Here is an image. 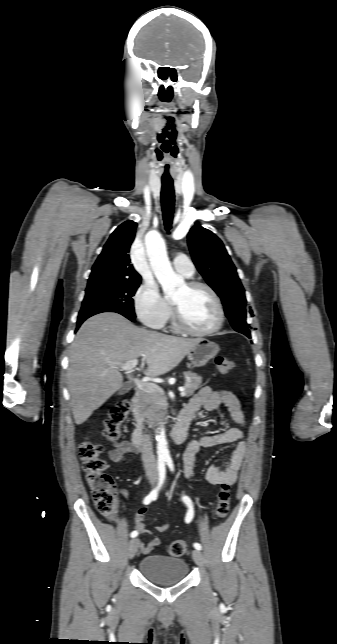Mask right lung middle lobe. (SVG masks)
I'll use <instances>...</instances> for the list:
<instances>
[{
	"label": "right lung middle lobe",
	"instance_id": "1",
	"mask_svg": "<svg viewBox=\"0 0 337 644\" xmlns=\"http://www.w3.org/2000/svg\"><path fill=\"white\" fill-rule=\"evenodd\" d=\"M141 281H96L89 282L78 321L102 312H116L135 318L132 296Z\"/></svg>",
	"mask_w": 337,
	"mask_h": 644
}]
</instances>
